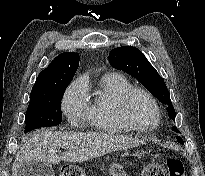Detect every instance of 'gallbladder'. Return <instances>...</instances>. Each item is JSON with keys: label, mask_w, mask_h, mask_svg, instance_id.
I'll return each mask as SVG.
<instances>
[{"label": "gallbladder", "mask_w": 205, "mask_h": 176, "mask_svg": "<svg viewBox=\"0 0 205 176\" xmlns=\"http://www.w3.org/2000/svg\"><path fill=\"white\" fill-rule=\"evenodd\" d=\"M18 176H55V171L50 163L31 161L19 168Z\"/></svg>", "instance_id": "bac80fb5"}]
</instances>
